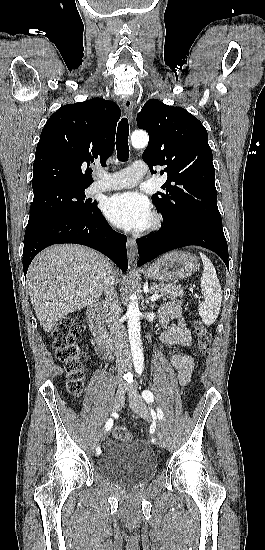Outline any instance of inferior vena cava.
I'll list each match as a JSON object with an SVG mask.
<instances>
[{
    "label": "inferior vena cava",
    "instance_id": "602c4592",
    "mask_svg": "<svg viewBox=\"0 0 265 550\" xmlns=\"http://www.w3.org/2000/svg\"><path fill=\"white\" fill-rule=\"evenodd\" d=\"M115 286V274L111 272L104 285L105 301L103 310L106 324L110 329L115 345L116 368L120 375V380L122 381L123 374L131 370L132 360L127 340V332L120 320V308L117 302Z\"/></svg>",
    "mask_w": 265,
    "mask_h": 550
}]
</instances>
